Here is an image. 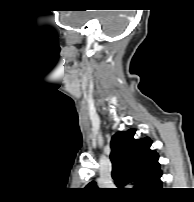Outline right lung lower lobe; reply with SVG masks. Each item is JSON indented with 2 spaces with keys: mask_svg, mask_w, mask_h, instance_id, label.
Returning <instances> with one entry per match:
<instances>
[{
  "mask_svg": "<svg viewBox=\"0 0 194 202\" xmlns=\"http://www.w3.org/2000/svg\"><path fill=\"white\" fill-rule=\"evenodd\" d=\"M159 190H161V187H160L159 189H156V190L152 191V193H156V192H158Z\"/></svg>",
  "mask_w": 194,
  "mask_h": 202,
  "instance_id": "98d812e1",
  "label": "right lung lower lobe"
}]
</instances>
